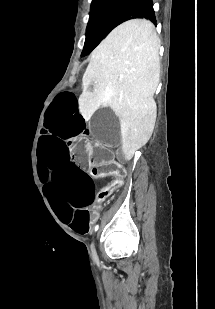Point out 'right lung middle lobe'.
Masks as SVG:
<instances>
[{
	"mask_svg": "<svg viewBox=\"0 0 215 309\" xmlns=\"http://www.w3.org/2000/svg\"><path fill=\"white\" fill-rule=\"evenodd\" d=\"M131 0H92L86 40L81 56L88 55L117 26Z\"/></svg>",
	"mask_w": 215,
	"mask_h": 309,
	"instance_id": "right-lung-middle-lobe-1",
	"label": "right lung middle lobe"
}]
</instances>
